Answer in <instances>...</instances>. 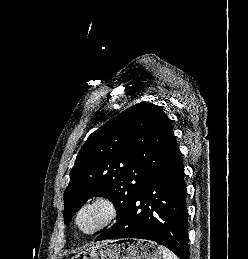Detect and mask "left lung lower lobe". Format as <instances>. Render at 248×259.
<instances>
[{
  "label": "left lung lower lobe",
  "instance_id": "obj_1",
  "mask_svg": "<svg viewBox=\"0 0 248 259\" xmlns=\"http://www.w3.org/2000/svg\"><path fill=\"white\" fill-rule=\"evenodd\" d=\"M187 190L180 150L131 202L123 216L96 241L140 238L155 241L189 259Z\"/></svg>",
  "mask_w": 248,
  "mask_h": 259
}]
</instances>
